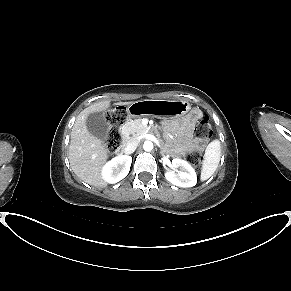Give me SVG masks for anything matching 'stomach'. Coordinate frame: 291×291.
I'll return each mask as SVG.
<instances>
[{
  "label": "stomach",
  "mask_w": 291,
  "mask_h": 291,
  "mask_svg": "<svg viewBox=\"0 0 291 291\" xmlns=\"http://www.w3.org/2000/svg\"><path fill=\"white\" fill-rule=\"evenodd\" d=\"M190 109V104L184 100H143L131 103L127 107V114L128 118H184Z\"/></svg>",
  "instance_id": "stomach-1"
}]
</instances>
